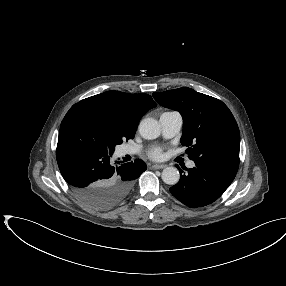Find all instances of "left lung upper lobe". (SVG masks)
Returning a JSON list of instances; mask_svg holds the SVG:
<instances>
[{
  "mask_svg": "<svg viewBox=\"0 0 286 286\" xmlns=\"http://www.w3.org/2000/svg\"><path fill=\"white\" fill-rule=\"evenodd\" d=\"M152 95L160 105L181 113V144L189 147L186 150L189 159L237 172L240 132L233 114L222 101L188 87Z\"/></svg>",
  "mask_w": 286,
  "mask_h": 286,
  "instance_id": "5c2ea615",
  "label": "left lung upper lobe"
}]
</instances>
